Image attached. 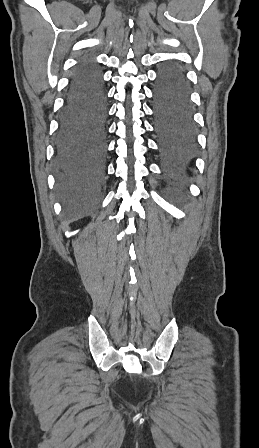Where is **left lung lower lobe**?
<instances>
[{
	"mask_svg": "<svg viewBox=\"0 0 259 448\" xmlns=\"http://www.w3.org/2000/svg\"><path fill=\"white\" fill-rule=\"evenodd\" d=\"M153 117L162 160L170 175L180 179L196 153V128L185 73L176 63L165 65L158 74Z\"/></svg>",
	"mask_w": 259,
	"mask_h": 448,
	"instance_id": "0a47b994",
	"label": "left lung lower lobe"
}]
</instances>
